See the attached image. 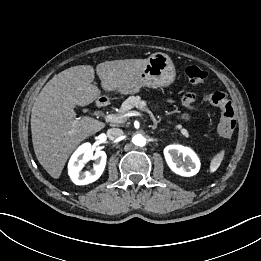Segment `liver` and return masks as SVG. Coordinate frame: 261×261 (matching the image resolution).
<instances>
[{"mask_svg":"<svg viewBox=\"0 0 261 261\" xmlns=\"http://www.w3.org/2000/svg\"><path fill=\"white\" fill-rule=\"evenodd\" d=\"M148 59L105 61L96 67L103 90L110 92L133 80ZM94 68L70 67L55 75L41 90L32 107L34 152L47 173L58 179L73 150L105 124L91 117L76 118L75 106L93 103L100 90L93 85Z\"/></svg>","mask_w":261,"mask_h":261,"instance_id":"liver-1","label":"liver"}]
</instances>
